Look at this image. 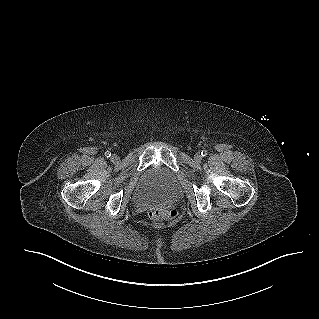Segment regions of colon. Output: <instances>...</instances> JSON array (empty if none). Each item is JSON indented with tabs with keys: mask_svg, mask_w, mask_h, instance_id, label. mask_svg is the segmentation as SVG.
Here are the masks:
<instances>
[{
	"mask_svg": "<svg viewBox=\"0 0 319 319\" xmlns=\"http://www.w3.org/2000/svg\"><path fill=\"white\" fill-rule=\"evenodd\" d=\"M149 217L154 220L171 219L176 216L175 211H165L159 208H153L149 211Z\"/></svg>",
	"mask_w": 319,
	"mask_h": 319,
	"instance_id": "1",
	"label": "colon"
}]
</instances>
